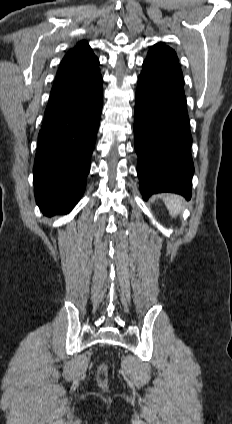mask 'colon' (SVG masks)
<instances>
[{"label": "colon", "instance_id": "colon-1", "mask_svg": "<svg viewBox=\"0 0 232 424\" xmlns=\"http://www.w3.org/2000/svg\"><path fill=\"white\" fill-rule=\"evenodd\" d=\"M97 382L100 386L105 387L108 382V371L105 365H101L97 371Z\"/></svg>", "mask_w": 232, "mask_h": 424}]
</instances>
